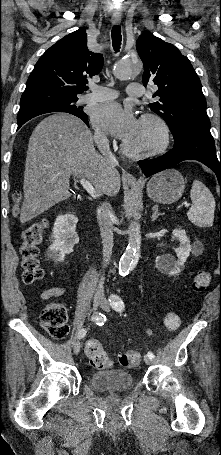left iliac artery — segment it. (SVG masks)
<instances>
[{
	"label": "left iliac artery",
	"mask_w": 221,
	"mask_h": 455,
	"mask_svg": "<svg viewBox=\"0 0 221 455\" xmlns=\"http://www.w3.org/2000/svg\"><path fill=\"white\" fill-rule=\"evenodd\" d=\"M109 302L111 307L118 312L123 311L125 308L123 300L116 294L110 295ZM147 355L152 359L155 357V355L152 352H148Z\"/></svg>",
	"instance_id": "1"
}]
</instances>
